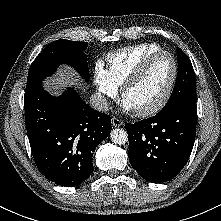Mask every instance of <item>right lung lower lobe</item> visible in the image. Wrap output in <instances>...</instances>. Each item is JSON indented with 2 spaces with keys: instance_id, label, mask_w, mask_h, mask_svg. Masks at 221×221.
<instances>
[{
  "instance_id": "98d812e1",
  "label": "right lung lower lobe",
  "mask_w": 221,
  "mask_h": 221,
  "mask_svg": "<svg viewBox=\"0 0 221 221\" xmlns=\"http://www.w3.org/2000/svg\"><path fill=\"white\" fill-rule=\"evenodd\" d=\"M24 106L31 151L40 172L61 186L85 181L93 171L96 146L110 134V116L92 109L72 88L53 97L42 84L25 92Z\"/></svg>"
}]
</instances>
